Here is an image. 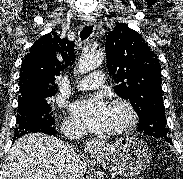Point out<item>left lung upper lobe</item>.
Returning <instances> with one entry per match:
<instances>
[{
    "mask_svg": "<svg viewBox=\"0 0 183 179\" xmlns=\"http://www.w3.org/2000/svg\"><path fill=\"white\" fill-rule=\"evenodd\" d=\"M105 50L109 74L117 83L114 90L135 109L138 129L146 135L168 138L157 55L139 33L124 23L108 34Z\"/></svg>",
    "mask_w": 183,
    "mask_h": 179,
    "instance_id": "obj_1",
    "label": "left lung upper lobe"
}]
</instances>
